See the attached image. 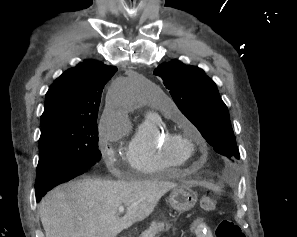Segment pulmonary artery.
<instances>
[{
	"instance_id": "1",
	"label": "pulmonary artery",
	"mask_w": 297,
	"mask_h": 237,
	"mask_svg": "<svg viewBox=\"0 0 297 237\" xmlns=\"http://www.w3.org/2000/svg\"><path fill=\"white\" fill-rule=\"evenodd\" d=\"M161 106L166 107V108H168L170 110H173V111L175 109L174 103L168 98H163L162 99Z\"/></svg>"
}]
</instances>
